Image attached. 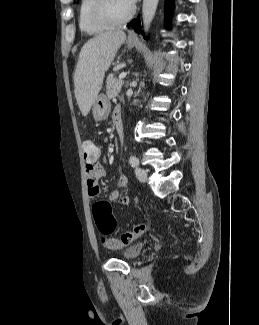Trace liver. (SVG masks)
<instances>
[{
    "label": "liver",
    "mask_w": 259,
    "mask_h": 325,
    "mask_svg": "<svg viewBox=\"0 0 259 325\" xmlns=\"http://www.w3.org/2000/svg\"><path fill=\"white\" fill-rule=\"evenodd\" d=\"M125 40L124 31H109L83 45L74 74L75 97L83 116L89 113L101 90L105 72Z\"/></svg>",
    "instance_id": "obj_1"
}]
</instances>
